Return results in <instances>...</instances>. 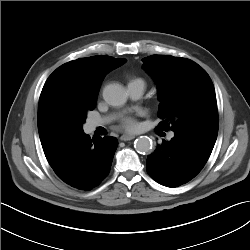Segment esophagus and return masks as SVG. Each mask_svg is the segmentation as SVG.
Listing matches in <instances>:
<instances>
[{"instance_id":"obj_1","label":"esophagus","mask_w":250,"mask_h":250,"mask_svg":"<svg viewBox=\"0 0 250 250\" xmlns=\"http://www.w3.org/2000/svg\"><path fill=\"white\" fill-rule=\"evenodd\" d=\"M135 138V136L133 135H128V134H123L120 139L122 141H130V140H133Z\"/></svg>"}]
</instances>
